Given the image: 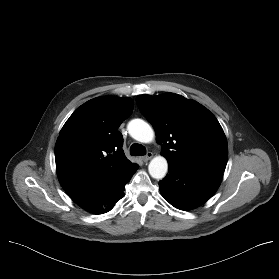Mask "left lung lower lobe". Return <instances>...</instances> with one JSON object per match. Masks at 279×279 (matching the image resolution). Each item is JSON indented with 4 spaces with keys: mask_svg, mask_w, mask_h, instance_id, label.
I'll use <instances>...</instances> for the list:
<instances>
[{
    "mask_svg": "<svg viewBox=\"0 0 279 279\" xmlns=\"http://www.w3.org/2000/svg\"><path fill=\"white\" fill-rule=\"evenodd\" d=\"M166 177L159 181L163 197L180 210L193 209L206 202L219 187L223 173L183 167L168 162Z\"/></svg>",
    "mask_w": 279,
    "mask_h": 279,
    "instance_id": "obj_1",
    "label": "left lung lower lobe"
}]
</instances>
